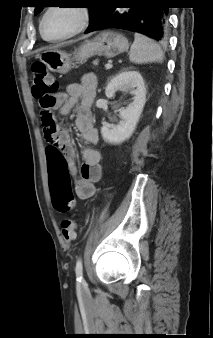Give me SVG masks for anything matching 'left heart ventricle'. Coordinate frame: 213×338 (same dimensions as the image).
Here are the masks:
<instances>
[{"instance_id": "b2bd125f", "label": "left heart ventricle", "mask_w": 213, "mask_h": 338, "mask_svg": "<svg viewBox=\"0 0 213 338\" xmlns=\"http://www.w3.org/2000/svg\"><path fill=\"white\" fill-rule=\"evenodd\" d=\"M80 22V14L70 8H57L45 19L43 32L47 38H57L73 31Z\"/></svg>"}]
</instances>
